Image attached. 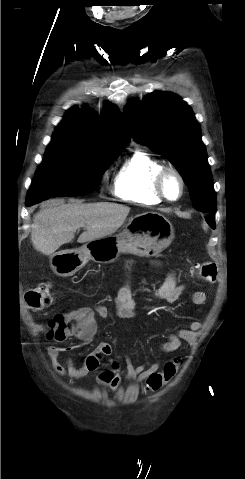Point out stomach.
<instances>
[{"instance_id":"obj_1","label":"stomach","mask_w":245,"mask_h":479,"mask_svg":"<svg viewBox=\"0 0 245 479\" xmlns=\"http://www.w3.org/2000/svg\"><path fill=\"white\" fill-rule=\"evenodd\" d=\"M174 238L172 224L160 213L144 212L131 217L118 234L87 242L82 247L62 250L50 258L52 270L59 276H72L89 260L112 263L121 254L157 256Z\"/></svg>"}]
</instances>
